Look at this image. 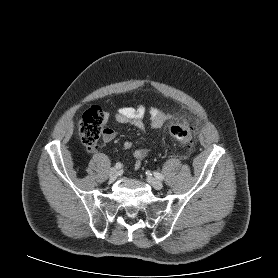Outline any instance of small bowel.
I'll list each match as a JSON object with an SVG mask.
<instances>
[{
	"label": "small bowel",
	"instance_id": "obj_1",
	"mask_svg": "<svg viewBox=\"0 0 278 278\" xmlns=\"http://www.w3.org/2000/svg\"><path fill=\"white\" fill-rule=\"evenodd\" d=\"M147 114V109L143 105L136 106H125L120 107L114 114V118L116 121L120 123H127L141 131L146 130V125L144 122V118ZM150 114V126L153 130H159L169 119L170 115L161 111L158 108H151L149 110ZM108 119V116L105 117ZM116 137L115 131L110 127H105L103 132V140L105 142H111ZM132 147V143L130 141H125L123 144L124 150H129ZM148 154V149L146 147H139L133 153V167L139 168L141 166L142 161Z\"/></svg>",
	"mask_w": 278,
	"mask_h": 278
}]
</instances>
